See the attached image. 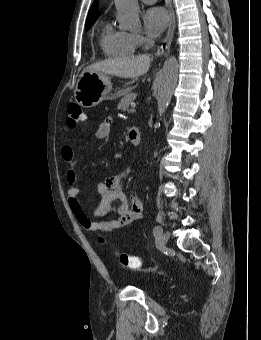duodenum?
Wrapping results in <instances>:
<instances>
[{
  "label": "duodenum",
  "mask_w": 261,
  "mask_h": 340,
  "mask_svg": "<svg viewBox=\"0 0 261 340\" xmlns=\"http://www.w3.org/2000/svg\"><path fill=\"white\" fill-rule=\"evenodd\" d=\"M129 140L133 145L140 143V130L136 127H132L129 130Z\"/></svg>",
  "instance_id": "410a0bca"
}]
</instances>
